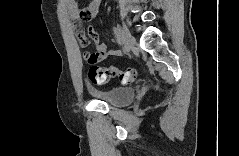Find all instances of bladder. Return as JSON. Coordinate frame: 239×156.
I'll return each instance as SVG.
<instances>
[{"mask_svg": "<svg viewBox=\"0 0 239 156\" xmlns=\"http://www.w3.org/2000/svg\"><path fill=\"white\" fill-rule=\"evenodd\" d=\"M89 92L98 100L115 106H125L130 104L136 94L134 87H114L107 90L89 88Z\"/></svg>", "mask_w": 239, "mask_h": 156, "instance_id": "1", "label": "bladder"}]
</instances>
